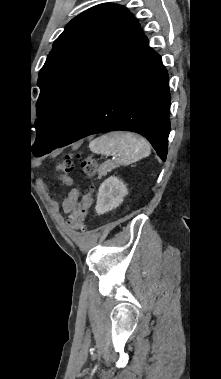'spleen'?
I'll return each mask as SVG.
<instances>
[{
  "mask_svg": "<svg viewBox=\"0 0 221 379\" xmlns=\"http://www.w3.org/2000/svg\"><path fill=\"white\" fill-rule=\"evenodd\" d=\"M92 152L102 156H117V163L129 165L149 156L151 147L147 140L129 132H110L89 144Z\"/></svg>",
  "mask_w": 221,
  "mask_h": 379,
  "instance_id": "spleen-1",
  "label": "spleen"
}]
</instances>
